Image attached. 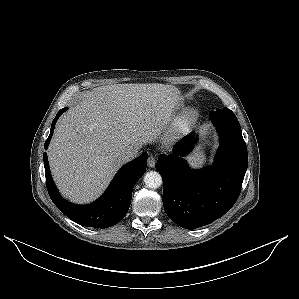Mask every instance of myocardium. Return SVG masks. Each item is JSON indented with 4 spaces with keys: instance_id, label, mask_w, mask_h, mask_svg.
<instances>
[{
    "instance_id": "f54148a6",
    "label": "myocardium",
    "mask_w": 299,
    "mask_h": 299,
    "mask_svg": "<svg viewBox=\"0 0 299 299\" xmlns=\"http://www.w3.org/2000/svg\"><path fill=\"white\" fill-rule=\"evenodd\" d=\"M199 111L196 108H188L183 111L177 118L169 138H177L178 136L190 131L197 123Z\"/></svg>"
}]
</instances>
